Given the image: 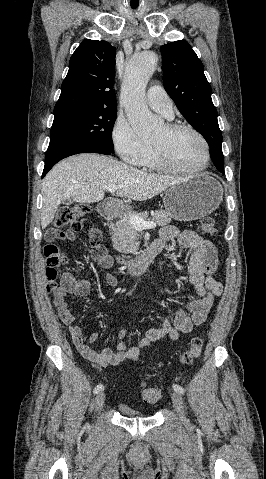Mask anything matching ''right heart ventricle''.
Returning <instances> with one entry per match:
<instances>
[{
  "instance_id": "e07e8e85",
  "label": "right heart ventricle",
  "mask_w": 266,
  "mask_h": 479,
  "mask_svg": "<svg viewBox=\"0 0 266 479\" xmlns=\"http://www.w3.org/2000/svg\"><path fill=\"white\" fill-rule=\"evenodd\" d=\"M144 168L150 170V171H156L159 170L160 168L158 167L157 163L155 162V159L153 157V154H151L143 164H141Z\"/></svg>"
}]
</instances>
